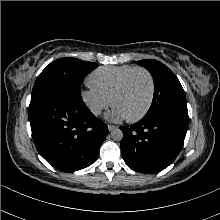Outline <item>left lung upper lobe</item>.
<instances>
[{
    "mask_svg": "<svg viewBox=\"0 0 220 220\" xmlns=\"http://www.w3.org/2000/svg\"><path fill=\"white\" fill-rule=\"evenodd\" d=\"M153 75L154 96L151 107L143 117L171 115L188 123V110L184 90L176 75L164 64L154 59L137 61Z\"/></svg>",
    "mask_w": 220,
    "mask_h": 220,
    "instance_id": "5c2ea615",
    "label": "left lung upper lobe"
}]
</instances>
